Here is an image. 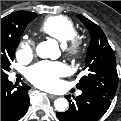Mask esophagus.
Masks as SVG:
<instances>
[{
  "mask_svg": "<svg viewBox=\"0 0 121 121\" xmlns=\"http://www.w3.org/2000/svg\"><path fill=\"white\" fill-rule=\"evenodd\" d=\"M48 97H49L50 99H56V98H57V96L51 95V94H48Z\"/></svg>",
  "mask_w": 121,
  "mask_h": 121,
  "instance_id": "esophagus-1",
  "label": "esophagus"
}]
</instances>
